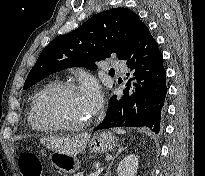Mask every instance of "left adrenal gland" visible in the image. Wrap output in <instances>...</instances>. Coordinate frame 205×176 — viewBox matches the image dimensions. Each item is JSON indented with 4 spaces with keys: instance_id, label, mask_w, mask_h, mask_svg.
<instances>
[{
    "instance_id": "obj_1",
    "label": "left adrenal gland",
    "mask_w": 205,
    "mask_h": 176,
    "mask_svg": "<svg viewBox=\"0 0 205 176\" xmlns=\"http://www.w3.org/2000/svg\"><path fill=\"white\" fill-rule=\"evenodd\" d=\"M123 147H119V149L117 150V153L115 154V156L112 158L109 166H108V169H107V172L105 174V176H109V173H110V169H111V166L113 164V162L115 161V159L118 157V155L123 151Z\"/></svg>"
}]
</instances>
